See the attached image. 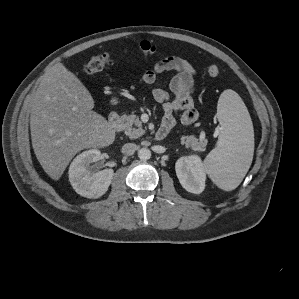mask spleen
Returning a JSON list of instances; mask_svg holds the SVG:
<instances>
[{"mask_svg": "<svg viewBox=\"0 0 299 299\" xmlns=\"http://www.w3.org/2000/svg\"><path fill=\"white\" fill-rule=\"evenodd\" d=\"M220 135L217 146L206 156L204 169L224 191L236 189L248 172L254 153V131L241 97L225 90L218 100Z\"/></svg>", "mask_w": 299, "mask_h": 299, "instance_id": "spleen-1", "label": "spleen"}]
</instances>
